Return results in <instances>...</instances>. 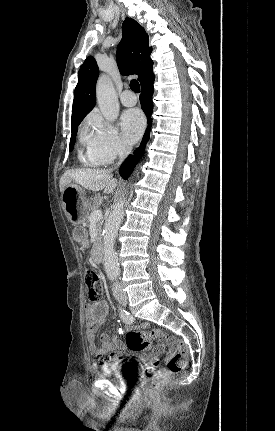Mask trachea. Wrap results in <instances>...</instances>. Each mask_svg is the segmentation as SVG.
I'll use <instances>...</instances> for the list:
<instances>
[{
  "instance_id": "1",
  "label": "trachea",
  "mask_w": 275,
  "mask_h": 431,
  "mask_svg": "<svg viewBox=\"0 0 275 431\" xmlns=\"http://www.w3.org/2000/svg\"><path fill=\"white\" fill-rule=\"evenodd\" d=\"M130 88L134 91L139 93L140 92V85L139 82L137 80H132L130 82Z\"/></svg>"
}]
</instances>
